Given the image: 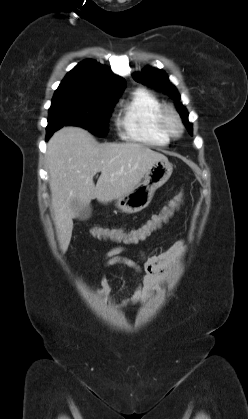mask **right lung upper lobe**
<instances>
[{
  "label": "right lung upper lobe",
  "instance_id": "1",
  "mask_svg": "<svg viewBox=\"0 0 248 419\" xmlns=\"http://www.w3.org/2000/svg\"><path fill=\"white\" fill-rule=\"evenodd\" d=\"M126 87L123 78L114 75L108 67L87 59L72 69L56 91H69L97 97L120 96Z\"/></svg>",
  "mask_w": 248,
  "mask_h": 419
}]
</instances>
